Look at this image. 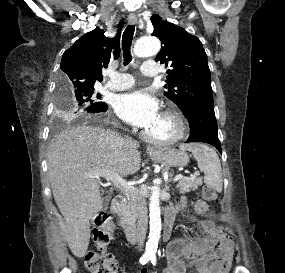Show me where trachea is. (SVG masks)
I'll return each instance as SVG.
<instances>
[{
  "label": "trachea",
  "mask_w": 285,
  "mask_h": 273,
  "mask_svg": "<svg viewBox=\"0 0 285 273\" xmlns=\"http://www.w3.org/2000/svg\"><path fill=\"white\" fill-rule=\"evenodd\" d=\"M134 31H135L134 26L128 25L122 35V48H123V57H124L125 66L128 65L132 60L130 49H131Z\"/></svg>",
  "instance_id": "trachea-1"
}]
</instances>
